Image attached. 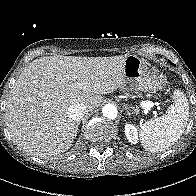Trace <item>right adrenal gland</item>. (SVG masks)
I'll use <instances>...</instances> for the list:
<instances>
[{
    "label": "right adrenal gland",
    "instance_id": "obj_1",
    "mask_svg": "<svg viewBox=\"0 0 196 196\" xmlns=\"http://www.w3.org/2000/svg\"><path fill=\"white\" fill-rule=\"evenodd\" d=\"M79 125H80V121L77 122V125H76L77 126V129H78Z\"/></svg>",
    "mask_w": 196,
    "mask_h": 196
}]
</instances>
